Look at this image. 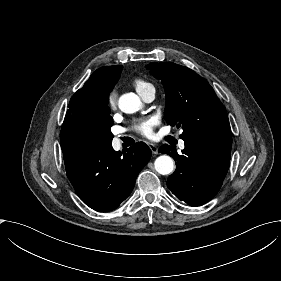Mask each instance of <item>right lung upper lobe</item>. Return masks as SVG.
Listing matches in <instances>:
<instances>
[{
    "label": "right lung upper lobe",
    "mask_w": 281,
    "mask_h": 281,
    "mask_svg": "<svg viewBox=\"0 0 281 281\" xmlns=\"http://www.w3.org/2000/svg\"><path fill=\"white\" fill-rule=\"evenodd\" d=\"M122 65L104 66L97 69L84 86L71 98L68 106V116H74L85 103L94 107H105L108 104L109 94L118 81Z\"/></svg>",
    "instance_id": "obj_1"
}]
</instances>
